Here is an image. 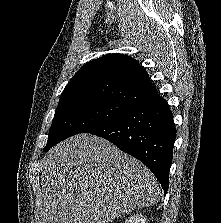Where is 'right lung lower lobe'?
<instances>
[{
    "mask_svg": "<svg viewBox=\"0 0 221 223\" xmlns=\"http://www.w3.org/2000/svg\"><path fill=\"white\" fill-rule=\"evenodd\" d=\"M84 133L105 138L139 159L154 173L167 193L176 128L165 99L159 96L139 104L112 121Z\"/></svg>",
    "mask_w": 221,
    "mask_h": 223,
    "instance_id": "obj_1",
    "label": "right lung lower lobe"
}]
</instances>
